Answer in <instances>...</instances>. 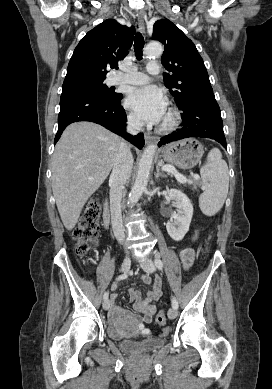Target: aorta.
I'll list each match as a JSON object with an SVG mask.
<instances>
[{
  "label": "aorta",
  "instance_id": "1",
  "mask_svg": "<svg viewBox=\"0 0 272 389\" xmlns=\"http://www.w3.org/2000/svg\"><path fill=\"white\" fill-rule=\"evenodd\" d=\"M163 53V47L159 42H151L144 48V54L148 57H159ZM157 145H148L141 156L137 176L128 197V205L133 206L147 188L150 169Z\"/></svg>",
  "mask_w": 272,
  "mask_h": 389
}]
</instances>
